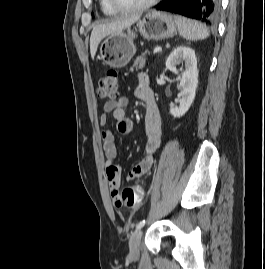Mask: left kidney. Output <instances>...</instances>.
I'll return each mask as SVG.
<instances>
[{
  "label": "left kidney",
  "mask_w": 265,
  "mask_h": 269,
  "mask_svg": "<svg viewBox=\"0 0 265 269\" xmlns=\"http://www.w3.org/2000/svg\"><path fill=\"white\" fill-rule=\"evenodd\" d=\"M184 63L185 70L181 74L178 94L179 106L171 107L170 114L179 118L183 116L194 101L198 85V69L195 51L186 46L176 47L166 60V68L178 74L177 65Z\"/></svg>",
  "instance_id": "left-kidney-1"
}]
</instances>
